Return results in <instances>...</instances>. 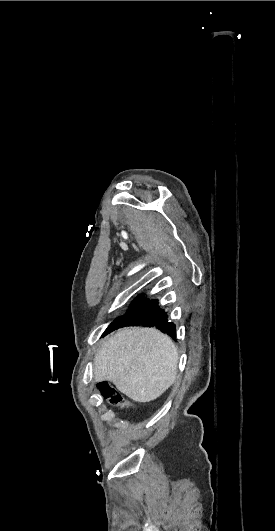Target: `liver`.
<instances>
[{"instance_id": "liver-1", "label": "liver", "mask_w": 275, "mask_h": 531, "mask_svg": "<svg viewBox=\"0 0 275 531\" xmlns=\"http://www.w3.org/2000/svg\"><path fill=\"white\" fill-rule=\"evenodd\" d=\"M178 351L168 335L149 327H125L98 351L95 381H111L135 401L150 403L176 381Z\"/></svg>"}]
</instances>
